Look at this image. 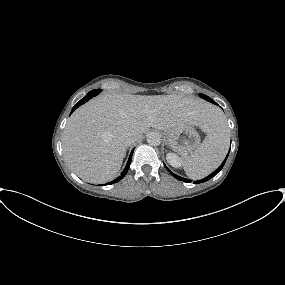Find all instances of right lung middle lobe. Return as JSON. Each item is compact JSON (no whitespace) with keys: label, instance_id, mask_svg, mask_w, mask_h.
I'll return each mask as SVG.
<instances>
[{"label":"right lung middle lobe","instance_id":"dd1d6c3e","mask_svg":"<svg viewBox=\"0 0 285 285\" xmlns=\"http://www.w3.org/2000/svg\"><path fill=\"white\" fill-rule=\"evenodd\" d=\"M94 92H100L101 91V89H95V90H93Z\"/></svg>","mask_w":285,"mask_h":285}]
</instances>
